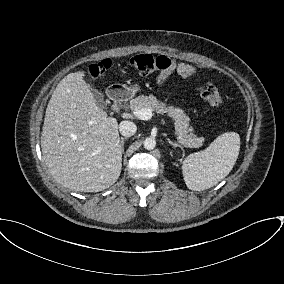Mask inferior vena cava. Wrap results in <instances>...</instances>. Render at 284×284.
Returning a JSON list of instances; mask_svg holds the SVG:
<instances>
[{"label":"inferior vena cava","instance_id":"1","mask_svg":"<svg viewBox=\"0 0 284 284\" xmlns=\"http://www.w3.org/2000/svg\"><path fill=\"white\" fill-rule=\"evenodd\" d=\"M120 133L125 137L133 136L137 131V126L132 121L124 120L119 125Z\"/></svg>","mask_w":284,"mask_h":284}]
</instances>
